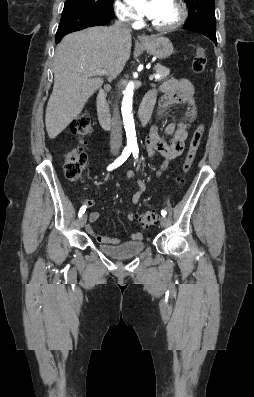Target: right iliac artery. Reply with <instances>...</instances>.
<instances>
[{"label":"right iliac artery","mask_w":254,"mask_h":397,"mask_svg":"<svg viewBox=\"0 0 254 397\" xmlns=\"http://www.w3.org/2000/svg\"><path fill=\"white\" fill-rule=\"evenodd\" d=\"M132 149L131 148H125L121 154L120 157H118L112 164L108 166V170H113L117 167H119L121 164L124 163V161L130 156ZM86 210V206H82L81 209L79 210L78 216L81 217Z\"/></svg>","instance_id":"1"}]
</instances>
